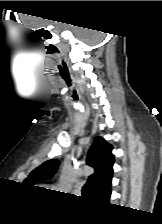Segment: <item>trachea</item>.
Instances as JSON below:
<instances>
[{
    "label": "trachea",
    "mask_w": 162,
    "mask_h": 224,
    "mask_svg": "<svg viewBox=\"0 0 162 224\" xmlns=\"http://www.w3.org/2000/svg\"><path fill=\"white\" fill-rule=\"evenodd\" d=\"M88 190H89V184L87 183L83 186L82 193L87 194Z\"/></svg>",
    "instance_id": "trachea-1"
}]
</instances>
